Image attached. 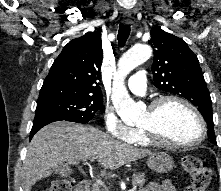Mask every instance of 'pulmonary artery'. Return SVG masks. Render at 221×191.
I'll use <instances>...</instances> for the list:
<instances>
[{
  "label": "pulmonary artery",
  "instance_id": "1",
  "mask_svg": "<svg viewBox=\"0 0 221 191\" xmlns=\"http://www.w3.org/2000/svg\"><path fill=\"white\" fill-rule=\"evenodd\" d=\"M127 86L131 92L137 95H143L146 92V72L144 70L137 71L127 82Z\"/></svg>",
  "mask_w": 221,
  "mask_h": 191
}]
</instances>
